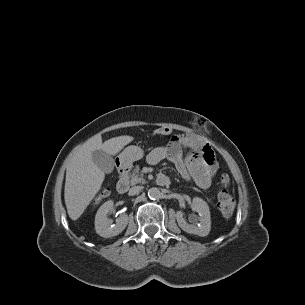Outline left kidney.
I'll return each mask as SVG.
<instances>
[{"mask_svg": "<svg viewBox=\"0 0 305 305\" xmlns=\"http://www.w3.org/2000/svg\"><path fill=\"white\" fill-rule=\"evenodd\" d=\"M191 208L194 212L199 214L196 218L199 223L194 221L193 224H188L184 219V213L182 211H177L176 219L179 227L190 234L201 237L207 236L211 229V217L208 204L203 199L195 197L193 198Z\"/></svg>", "mask_w": 305, "mask_h": 305, "instance_id": "obj_1", "label": "left kidney"}]
</instances>
